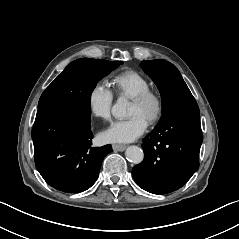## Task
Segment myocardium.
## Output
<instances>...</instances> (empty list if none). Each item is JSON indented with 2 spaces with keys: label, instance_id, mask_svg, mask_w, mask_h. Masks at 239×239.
<instances>
[{
  "label": "myocardium",
  "instance_id": "myocardium-1",
  "mask_svg": "<svg viewBox=\"0 0 239 239\" xmlns=\"http://www.w3.org/2000/svg\"><path fill=\"white\" fill-rule=\"evenodd\" d=\"M132 101L140 105H153V109L150 113L148 120V123L150 125H155L163 116L165 109V101L162 93L157 89L148 88L146 90H143L133 96Z\"/></svg>",
  "mask_w": 239,
  "mask_h": 239
}]
</instances>
